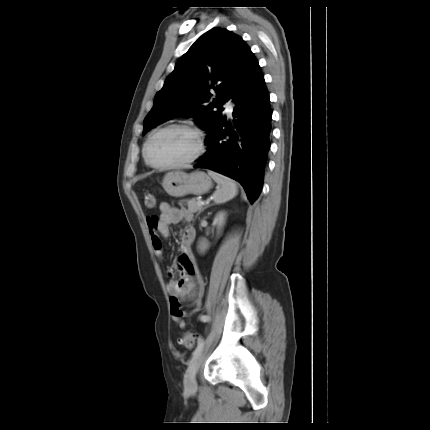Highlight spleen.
Instances as JSON below:
<instances>
[{
  "label": "spleen",
  "mask_w": 430,
  "mask_h": 430,
  "mask_svg": "<svg viewBox=\"0 0 430 430\" xmlns=\"http://www.w3.org/2000/svg\"><path fill=\"white\" fill-rule=\"evenodd\" d=\"M208 174L219 185V188L213 193V200L216 204L225 203L237 195L238 187L233 179L211 170H208Z\"/></svg>",
  "instance_id": "1"
}]
</instances>
